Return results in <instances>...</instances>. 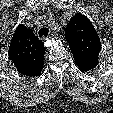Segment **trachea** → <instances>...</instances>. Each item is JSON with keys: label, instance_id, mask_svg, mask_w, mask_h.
Returning <instances> with one entry per match:
<instances>
[{"label": "trachea", "instance_id": "1", "mask_svg": "<svg viewBox=\"0 0 113 113\" xmlns=\"http://www.w3.org/2000/svg\"><path fill=\"white\" fill-rule=\"evenodd\" d=\"M38 34H39V37H41V36H45L46 37L49 34V30H48V28L43 27V28H41L39 30Z\"/></svg>", "mask_w": 113, "mask_h": 113}]
</instances>
